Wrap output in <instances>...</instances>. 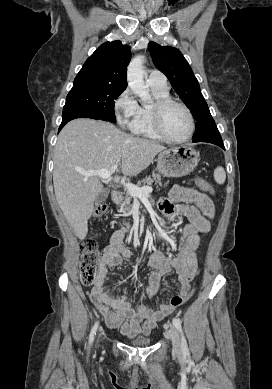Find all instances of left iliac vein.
Wrapping results in <instances>:
<instances>
[{
	"mask_svg": "<svg viewBox=\"0 0 272 389\" xmlns=\"http://www.w3.org/2000/svg\"><path fill=\"white\" fill-rule=\"evenodd\" d=\"M168 336L172 341L173 351L175 353H180L182 350L181 341L177 328L174 325H171L168 331Z\"/></svg>",
	"mask_w": 272,
	"mask_h": 389,
	"instance_id": "obj_1",
	"label": "left iliac vein"
}]
</instances>
